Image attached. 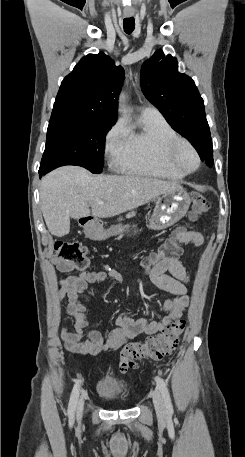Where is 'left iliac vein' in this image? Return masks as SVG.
I'll return each instance as SVG.
<instances>
[{
    "instance_id": "1",
    "label": "left iliac vein",
    "mask_w": 245,
    "mask_h": 457,
    "mask_svg": "<svg viewBox=\"0 0 245 457\" xmlns=\"http://www.w3.org/2000/svg\"><path fill=\"white\" fill-rule=\"evenodd\" d=\"M156 413L160 419H165L166 411L161 394L155 391L152 395Z\"/></svg>"
}]
</instances>
